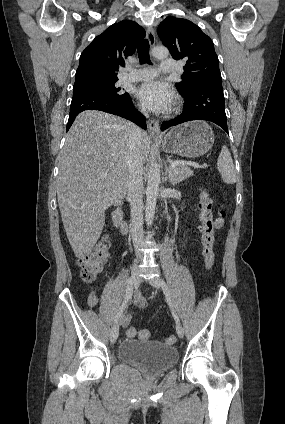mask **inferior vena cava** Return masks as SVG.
Wrapping results in <instances>:
<instances>
[{"label": "inferior vena cava", "mask_w": 285, "mask_h": 424, "mask_svg": "<svg viewBox=\"0 0 285 424\" xmlns=\"http://www.w3.org/2000/svg\"><path fill=\"white\" fill-rule=\"evenodd\" d=\"M145 117H149L146 110H142ZM143 130L136 125L132 126L130 136L128 166V198L131 205L132 240L136 255L141 257L139 248L142 247L143 231V159L141 153V139Z\"/></svg>", "instance_id": "inferior-vena-cava-1"}]
</instances>
